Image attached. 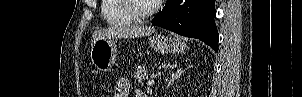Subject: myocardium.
Instances as JSON below:
<instances>
[{"mask_svg":"<svg viewBox=\"0 0 302 97\" xmlns=\"http://www.w3.org/2000/svg\"><path fill=\"white\" fill-rule=\"evenodd\" d=\"M133 0H122L123 9L137 22L144 21L152 16L158 9V4H151L150 7L143 13L136 11L132 5Z\"/></svg>","mask_w":302,"mask_h":97,"instance_id":"obj_1","label":"myocardium"}]
</instances>
